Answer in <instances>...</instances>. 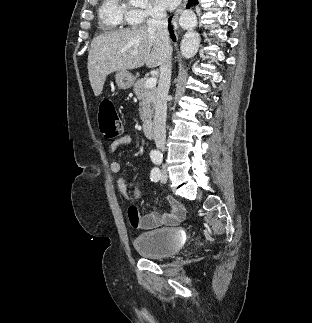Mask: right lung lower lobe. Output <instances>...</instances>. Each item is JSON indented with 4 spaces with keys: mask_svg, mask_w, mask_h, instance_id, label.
<instances>
[{
    "mask_svg": "<svg viewBox=\"0 0 312 323\" xmlns=\"http://www.w3.org/2000/svg\"><path fill=\"white\" fill-rule=\"evenodd\" d=\"M198 0H189L188 4H187V8H190L192 5H195L197 4ZM170 22H171V17L169 18V26H170ZM171 35H172V38L173 40H175V36L172 32V30L170 31Z\"/></svg>",
    "mask_w": 312,
    "mask_h": 323,
    "instance_id": "right-lung-lower-lobe-1",
    "label": "right lung lower lobe"
}]
</instances>
